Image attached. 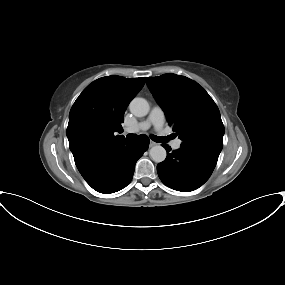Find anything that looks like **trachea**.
<instances>
[{
  "mask_svg": "<svg viewBox=\"0 0 285 285\" xmlns=\"http://www.w3.org/2000/svg\"><path fill=\"white\" fill-rule=\"evenodd\" d=\"M136 138V134H128L127 135V139L128 140H134ZM151 139L155 142H159V143H164L167 142L168 138L167 137H159V136H155V135H151Z\"/></svg>",
  "mask_w": 285,
  "mask_h": 285,
  "instance_id": "1",
  "label": "trachea"
}]
</instances>
